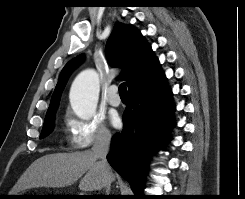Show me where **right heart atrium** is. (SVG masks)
Returning <instances> with one entry per match:
<instances>
[{
	"label": "right heart atrium",
	"mask_w": 245,
	"mask_h": 199,
	"mask_svg": "<svg viewBox=\"0 0 245 199\" xmlns=\"http://www.w3.org/2000/svg\"><path fill=\"white\" fill-rule=\"evenodd\" d=\"M66 127L69 144L74 150H83L111 140L110 130L103 118L98 115L81 119L69 113L66 118Z\"/></svg>",
	"instance_id": "1"
}]
</instances>
